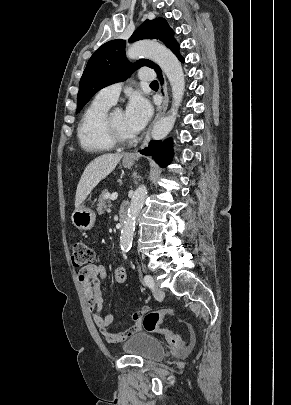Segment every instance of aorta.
<instances>
[{"label": "aorta", "mask_w": 291, "mask_h": 405, "mask_svg": "<svg viewBox=\"0 0 291 405\" xmlns=\"http://www.w3.org/2000/svg\"><path fill=\"white\" fill-rule=\"evenodd\" d=\"M130 60L145 56L157 63L167 76L171 89L173 104L170 112L159 119L153 126L152 138L161 140L172 130L176 121L178 107L185 91V77L182 66L177 57L164 45L153 40H141L133 43L126 51ZM147 189L144 185L139 186L131 199L126 221L121 231L120 245L124 252L130 250L135 231L136 219L143 207Z\"/></svg>", "instance_id": "obj_1"}]
</instances>
